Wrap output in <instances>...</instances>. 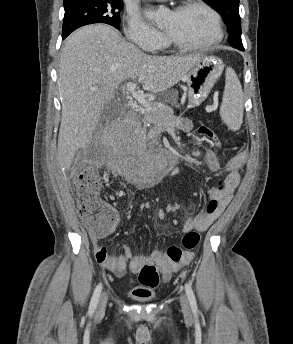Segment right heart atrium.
<instances>
[{
  "label": "right heart atrium",
  "mask_w": 293,
  "mask_h": 344,
  "mask_svg": "<svg viewBox=\"0 0 293 344\" xmlns=\"http://www.w3.org/2000/svg\"><path fill=\"white\" fill-rule=\"evenodd\" d=\"M124 31L129 42L139 50L154 51L164 42L161 32L133 12L126 14Z\"/></svg>",
  "instance_id": "1"
}]
</instances>
